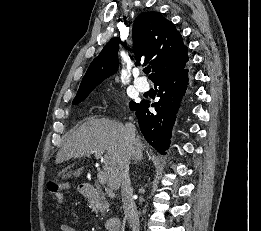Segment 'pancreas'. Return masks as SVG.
Segmentation results:
<instances>
[{"label": "pancreas", "mask_w": 261, "mask_h": 231, "mask_svg": "<svg viewBox=\"0 0 261 231\" xmlns=\"http://www.w3.org/2000/svg\"><path fill=\"white\" fill-rule=\"evenodd\" d=\"M102 204L99 203L98 200L91 199L89 201L90 206L92 207V210L95 212H98L99 210L107 209L109 207V204L106 200H104V197L102 196Z\"/></svg>", "instance_id": "cf45deb5"}]
</instances>
